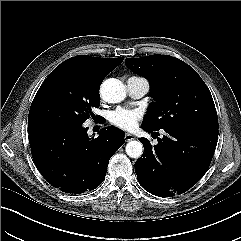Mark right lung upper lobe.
Instances as JSON below:
<instances>
[{
	"label": "right lung upper lobe",
	"mask_w": 241,
	"mask_h": 241,
	"mask_svg": "<svg viewBox=\"0 0 241 241\" xmlns=\"http://www.w3.org/2000/svg\"><path fill=\"white\" fill-rule=\"evenodd\" d=\"M123 59L122 57L98 58L79 55L61 64L71 67L82 83L99 90L100 84L105 76L121 64Z\"/></svg>",
	"instance_id": "1"
}]
</instances>
